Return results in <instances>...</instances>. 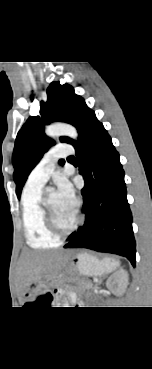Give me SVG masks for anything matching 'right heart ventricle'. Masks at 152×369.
Instances as JSON below:
<instances>
[{"mask_svg": "<svg viewBox=\"0 0 152 369\" xmlns=\"http://www.w3.org/2000/svg\"><path fill=\"white\" fill-rule=\"evenodd\" d=\"M41 187L25 186L22 197V221L27 243L35 249L53 248L60 240L50 233L41 206Z\"/></svg>", "mask_w": 152, "mask_h": 369, "instance_id": "right-heart-ventricle-1", "label": "right heart ventricle"}]
</instances>
